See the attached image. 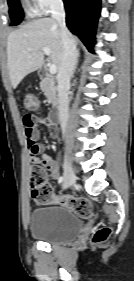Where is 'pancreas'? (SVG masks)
<instances>
[{
	"instance_id": "1",
	"label": "pancreas",
	"mask_w": 134,
	"mask_h": 281,
	"mask_svg": "<svg viewBox=\"0 0 134 281\" xmlns=\"http://www.w3.org/2000/svg\"><path fill=\"white\" fill-rule=\"evenodd\" d=\"M40 88L47 97L48 102L52 105H55L57 103V89L54 80L50 77H46L40 83Z\"/></svg>"
}]
</instances>
